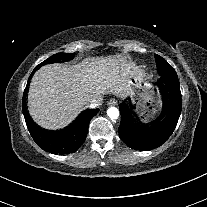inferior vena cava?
Here are the masks:
<instances>
[{"label": "inferior vena cava", "mask_w": 207, "mask_h": 207, "mask_svg": "<svg viewBox=\"0 0 207 207\" xmlns=\"http://www.w3.org/2000/svg\"><path fill=\"white\" fill-rule=\"evenodd\" d=\"M102 102H103V98L101 96L94 97L88 102L86 107L94 109L102 105Z\"/></svg>", "instance_id": "obj_1"}]
</instances>
